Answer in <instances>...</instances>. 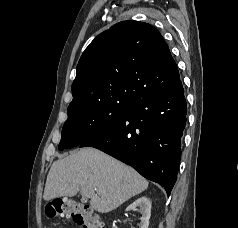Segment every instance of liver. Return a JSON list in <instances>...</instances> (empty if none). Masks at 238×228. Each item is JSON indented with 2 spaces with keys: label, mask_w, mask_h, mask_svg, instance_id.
<instances>
[{
  "label": "liver",
  "mask_w": 238,
  "mask_h": 228,
  "mask_svg": "<svg viewBox=\"0 0 238 228\" xmlns=\"http://www.w3.org/2000/svg\"><path fill=\"white\" fill-rule=\"evenodd\" d=\"M148 184L131 167L89 147L53 163L43 198L72 197L81 191L94 210L108 213L146 190Z\"/></svg>",
  "instance_id": "liver-1"
}]
</instances>
